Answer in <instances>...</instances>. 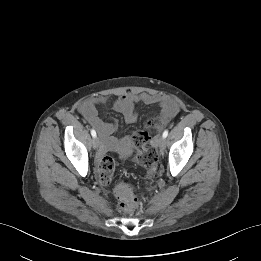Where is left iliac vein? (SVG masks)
I'll use <instances>...</instances> for the list:
<instances>
[{"label": "left iliac vein", "instance_id": "obj_1", "mask_svg": "<svg viewBox=\"0 0 261 261\" xmlns=\"http://www.w3.org/2000/svg\"><path fill=\"white\" fill-rule=\"evenodd\" d=\"M157 145L161 150L165 148L166 140L163 136L158 138Z\"/></svg>", "mask_w": 261, "mask_h": 261}]
</instances>
